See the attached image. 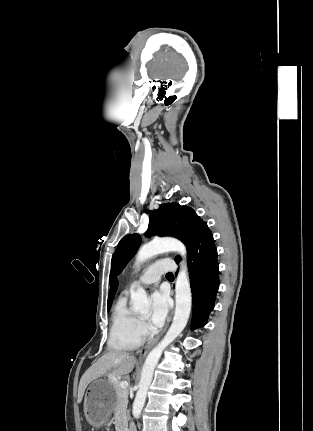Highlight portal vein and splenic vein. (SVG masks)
<instances>
[{"label":"portal vein and splenic vein","instance_id":"obj_1","mask_svg":"<svg viewBox=\"0 0 313 431\" xmlns=\"http://www.w3.org/2000/svg\"><path fill=\"white\" fill-rule=\"evenodd\" d=\"M129 383L127 381H121L120 382V387L122 389H127L128 388Z\"/></svg>","mask_w":313,"mask_h":431}]
</instances>
